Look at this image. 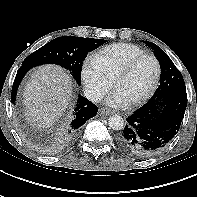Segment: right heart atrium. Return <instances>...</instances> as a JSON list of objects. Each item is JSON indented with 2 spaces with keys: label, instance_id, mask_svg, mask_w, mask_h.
Masks as SVG:
<instances>
[{
  "label": "right heart atrium",
  "instance_id": "obj_1",
  "mask_svg": "<svg viewBox=\"0 0 197 197\" xmlns=\"http://www.w3.org/2000/svg\"><path fill=\"white\" fill-rule=\"evenodd\" d=\"M81 75L86 93L94 101L100 100L112 87L114 81L94 63L92 58L83 64Z\"/></svg>",
  "mask_w": 197,
  "mask_h": 197
}]
</instances>
